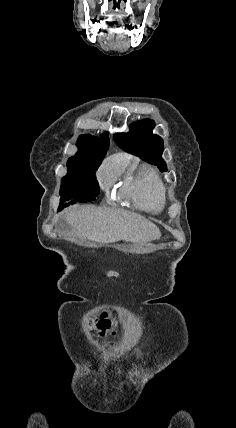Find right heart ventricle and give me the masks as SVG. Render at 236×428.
<instances>
[{
  "label": "right heart ventricle",
  "instance_id": "right-heart-ventricle-1",
  "mask_svg": "<svg viewBox=\"0 0 236 428\" xmlns=\"http://www.w3.org/2000/svg\"><path fill=\"white\" fill-rule=\"evenodd\" d=\"M126 163L122 164L125 169ZM167 187L162 178L149 168L127 175L121 194L136 207L156 211L166 200Z\"/></svg>",
  "mask_w": 236,
  "mask_h": 428
}]
</instances>
